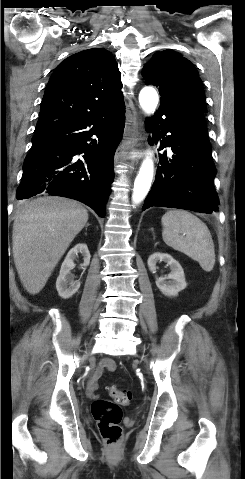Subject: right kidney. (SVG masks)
<instances>
[{"label": "right kidney", "instance_id": "right-kidney-1", "mask_svg": "<svg viewBox=\"0 0 245 479\" xmlns=\"http://www.w3.org/2000/svg\"><path fill=\"white\" fill-rule=\"evenodd\" d=\"M79 253L83 256L81 268L87 267L90 263L91 255L86 244H77L68 252L56 281V289L63 299L72 297L80 288V282L75 281L74 275L71 273V270L75 267L74 260Z\"/></svg>", "mask_w": 245, "mask_h": 479}]
</instances>
